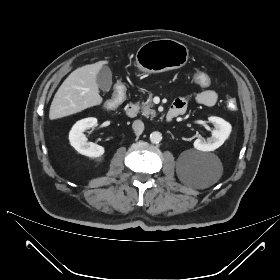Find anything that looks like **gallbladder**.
<instances>
[{
    "label": "gallbladder",
    "mask_w": 280,
    "mask_h": 280,
    "mask_svg": "<svg viewBox=\"0 0 280 280\" xmlns=\"http://www.w3.org/2000/svg\"><path fill=\"white\" fill-rule=\"evenodd\" d=\"M96 82L98 87L104 91L108 92L112 86V73L108 66H103L97 74Z\"/></svg>",
    "instance_id": "1"
}]
</instances>
